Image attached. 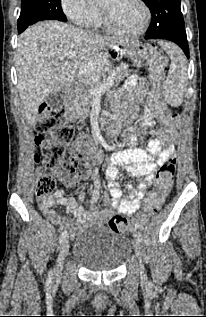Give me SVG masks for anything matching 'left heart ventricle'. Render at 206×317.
Wrapping results in <instances>:
<instances>
[{"mask_svg": "<svg viewBox=\"0 0 206 317\" xmlns=\"http://www.w3.org/2000/svg\"><path fill=\"white\" fill-rule=\"evenodd\" d=\"M113 25L124 32L139 30L144 21V11L136 0H101Z\"/></svg>", "mask_w": 206, "mask_h": 317, "instance_id": "1", "label": "left heart ventricle"}]
</instances>
